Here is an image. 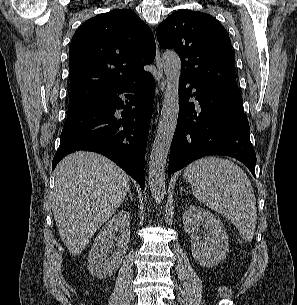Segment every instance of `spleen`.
<instances>
[{"instance_id":"1","label":"spleen","mask_w":297,"mask_h":305,"mask_svg":"<svg viewBox=\"0 0 297 305\" xmlns=\"http://www.w3.org/2000/svg\"><path fill=\"white\" fill-rule=\"evenodd\" d=\"M184 177L197 200L228 218L244 240H252L257 220L256 199L249 178L237 164L206 157L191 163Z\"/></svg>"}]
</instances>
